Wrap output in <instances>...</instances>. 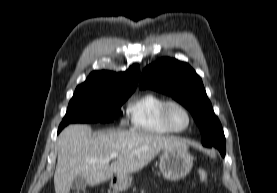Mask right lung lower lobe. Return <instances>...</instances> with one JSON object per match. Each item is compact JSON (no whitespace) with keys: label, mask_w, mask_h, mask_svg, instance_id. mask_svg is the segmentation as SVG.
I'll return each instance as SVG.
<instances>
[{"label":"right lung lower lobe","mask_w":277,"mask_h":193,"mask_svg":"<svg viewBox=\"0 0 277 193\" xmlns=\"http://www.w3.org/2000/svg\"><path fill=\"white\" fill-rule=\"evenodd\" d=\"M64 127L63 126H59V129H58V133L63 129Z\"/></svg>","instance_id":"right-lung-lower-lobe-1"}]
</instances>
